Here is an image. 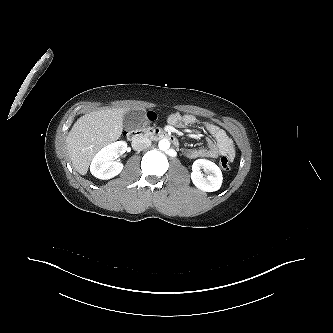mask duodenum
Masks as SVG:
<instances>
[{
    "instance_id": "duodenum-1",
    "label": "duodenum",
    "mask_w": 333,
    "mask_h": 333,
    "mask_svg": "<svg viewBox=\"0 0 333 333\" xmlns=\"http://www.w3.org/2000/svg\"><path fill=\"white\" fill-rule=\"evenodd\" d=\"M127 138L129 141H131L135 148L141 147L143 141L146 138L164 139L170 141L176 146L178 145V140L175 136L165 130L158 128L133 130L127 134Z\"/></svg>"
}]
</instances>
